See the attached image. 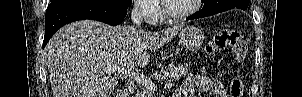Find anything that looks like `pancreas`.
<instances>
[{
	"mask_svg": "<svg viewBox=\"0 0 302 97\" xmlns=\"http://www.w3.org/2000/svg\"><path fill=\"white\" fill-rule=\"evenodd\" d=\"M188 72V67L183 65H168L164 69L161 70L158 79H172L179 80L184 77ZM139 97H152V92L148 89H143L142 93L139 94Z\"/></svg>",
	"mask_w": 302,
	"mask_h": 97,
	"instance_id": "1",
	"label": "pancreas"
}]
</instances>
